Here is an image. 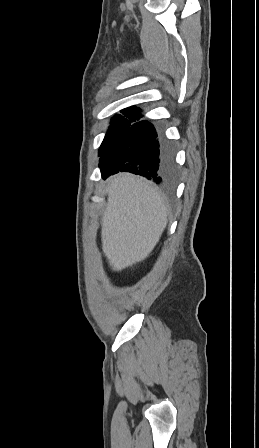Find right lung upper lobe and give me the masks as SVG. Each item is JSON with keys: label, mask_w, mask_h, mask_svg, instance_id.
Here are the masks:
<instances>
[{"label": "right lung upper lobe", "mask_w": 259, "mask_h": 448, "mask_svg": "<svg viewBox=\"0 0 259 448\" xmlns=\"http://www.w3.org/2000/svg\"><path fill=\"white\" fill-rule=\"evenodd\" d=\"M141 110L139 108H136V106H132L129 108H125L121 110L122 114H139L140 115Z\"/></svg>", "instance_id": "right-lung-upper-lobe-1"}]
</instances>
